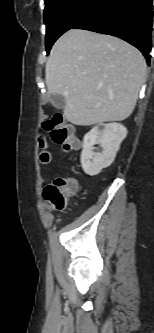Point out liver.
<instances>
[{"mask_svg": "<svg viewBox=\"0 0 154 333\" xmlns=\"http://www.w3.org/2000/svg\"><path fill=\"white\" fill-rule=\"evenodd\" d=\"M45 71L48 92L65 98L66 119L88 126L131 115L146 62L138 49L117 37L71 29L52 47Z\"/></svg>", "mask_w": 154, "mask_h": 333, "instance_id": "1", "label": "liver"}]
</instances>
